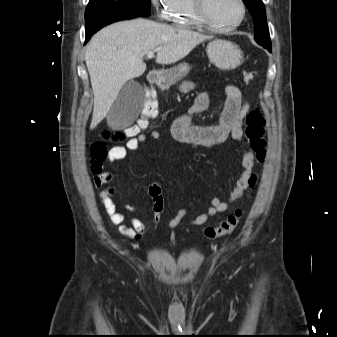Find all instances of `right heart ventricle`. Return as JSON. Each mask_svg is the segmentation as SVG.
Returning a JSON list of instances; mask_svg holds the SVG:
<instances>
[{"instance_id": "right-heart-ventricle-1", "label": "right heart ventricle", "mask_w": 337, "mask_h": 337, "mask_svg": "<svg viewBox=\"0 0 337 337\" xmlns=\"http://www.w3.org/2000/svg\"><path fill=\"white\" fill-rule=\"evenodd\" d=\"M169 17L174 24L182 27H200L202 25L196 17L192 0H175Z\"/></svg>"}]
</instances>
